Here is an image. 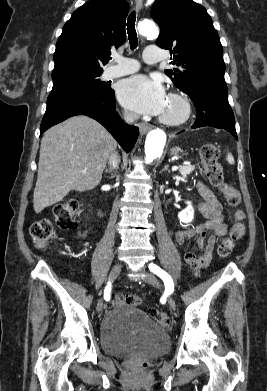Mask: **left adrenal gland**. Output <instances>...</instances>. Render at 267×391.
<instances>
[{"instance_id":"left-adrenal-gland-1","label":"left adrenal gland","mask_w":267,"mask_h":391,"mask_svg":"<svg viewBox=\"0 0 267 391\" xmlns=\"http://www.w3.org/2000/svg\"><path fill=\"white\" fill-rule=\"evenodd\" d=\"M168 167H169V165H166V166L162 169V172H163V171H166V170L169 171Z\"/></svg>"}]
</instances>
